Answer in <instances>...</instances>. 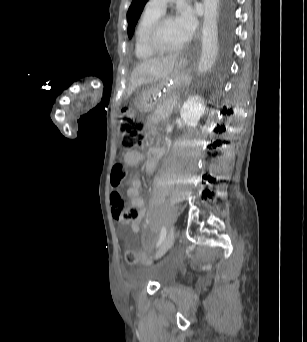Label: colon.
<instances>
[{
  "instance_id": "colon-1",
  "label": "colon",
  "mask_w": 307,
  "mask_h": 342,
  "mask_svg": "<svg viewBox=\"0 0 307 342\" xmlns=\"http://www.w3.org/2000/svg\"><path fill=\"white\" fill-rule=\"evenodd\" d=\"M119 133L121 135V145L126 150L140 149L146 137L143 122L133 116L128 108H123L119 113ZM127 178L126 164L123 161L114 163L110 174L112 214L114 219L122 225L131 223L136 216V209L128 206L117 191L126 182ZM142 255L141 250L136 253L133 250H128L125 259L128 264L138 262L139 265H146L148 259L153 262L152 255H149L148 258Z\"/></svg>"
}]
</instances>
